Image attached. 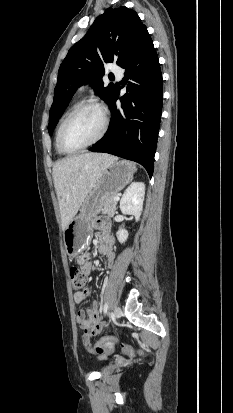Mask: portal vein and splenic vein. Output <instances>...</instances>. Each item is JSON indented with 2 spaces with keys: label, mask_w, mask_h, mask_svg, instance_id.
<instances>
[{
  "label": "portal vein and splenic vein",
  "mask_w": 233,
  "mask_h": 413,
  "mask_svg": "<svg viewBox=\"0 0 233 413\" xmlns=\"http://www.w3.org/2000/svg\"><path fill=\"white\" fill-rule=\"evenodd\" d=\"M114 200L118 201V200H119V197H118V196H115V197H114Z\"/></svg>",
  "instance_id": "1"
}]
</instances>
